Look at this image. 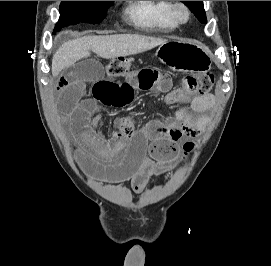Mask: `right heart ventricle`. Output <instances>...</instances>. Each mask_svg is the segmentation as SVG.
Segmentation results:
<instances>
[{"instance_id":"e07e8e85","label":"right heart ventricle","mask_w":271,"mask_h":266,"mask_svg":"<svg viewBox=\"0 0 271 266\" xmlns=\"http://www.w3.org/2000/svg\"><path fill=\"white\" fill-rule=\"evenodd\" d=\"M171 1H135L126 13L138 27L149 29L173 30L177 23L171 16Z\"/></svg>"}]
</instances>
